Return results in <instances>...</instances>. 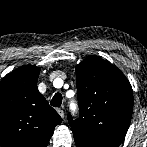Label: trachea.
<instances>
[{
  "instance_id": "3493384b",
  "label": "trachea",
  "mask_w": 147,
  "mask_h": 147,
  "mask_svg": "<svg viewBox=\"0 0 147 147\" xmlns=\"http://www.w3.org/2000/svg\"><path fill=\"white\" fill-rule=\"evenodd\" d=\"M50 104H51L53 107H59V106H61V104H62V95H61L60 93H56V94L53 96V98H52Z\"/></svg>"
}]
</instances>
